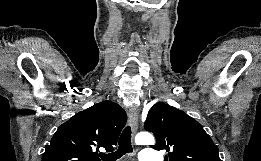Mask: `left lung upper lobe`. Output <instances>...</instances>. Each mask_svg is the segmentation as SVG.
Instances as JSON below:
<instances>
[{"mask_svg":"<svg viewBox=\"0 0 261 161\" xmlns=\"http://www.w3.org/2000/svg\"><path fill=\"white\" fill-rule=\"evenodd\" d=\"M144 128L156 137L151 147L168 152L165 161H221L218 147L201 124L173 106L153 105Z\"/></svg>","mask_w":261,"mask_h":161,"instance_id":"1","label":"left lung upper lobe"}]
</instances>
